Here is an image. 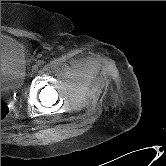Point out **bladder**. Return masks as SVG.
Here are the masks:
<instances>
[{"instance_id": "obj_1", "label": "bladder", "mask_w": 166, "mask_h": 166, "mask_svg": "<svg viewBox=\"0 0 166 166\" xmlns=\"http://www.w3.org/2000/svg\"><path fill=\"white\" fill-rule=\"evenodd\" d=\"M26 64L22 46L15 39L1 35V91L19 89L25 80Z\"/></svg>"}]
</instances>
